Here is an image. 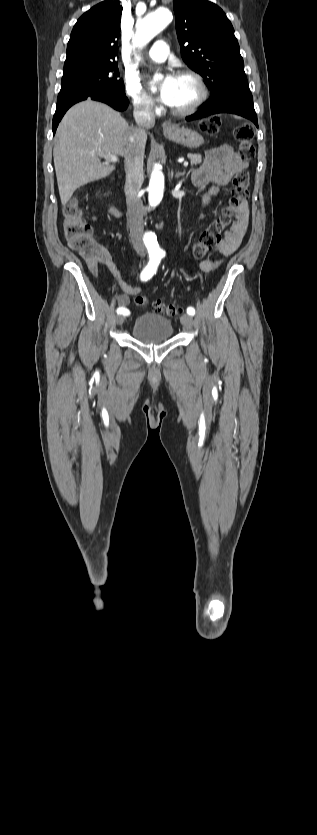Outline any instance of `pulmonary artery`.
I'll return each mask as SVG.
<instances>
[{"label": "pulmonary artery", "instance_id": "pulmonary-artery-1", "mask_svg": "<svg viewBox=\"0 0 317 835\" xmlns=\"http://www.w3.org/2000/svg\"><path fill=\"white\" fill-rule=\"evenodd\" d=\"M168 52L169 47L167 43L163 40H158L148 51V57L155 62H162L167 58Z\"/></svg>", "mask_w": 317, "mask_h": 835}]
</instances>
